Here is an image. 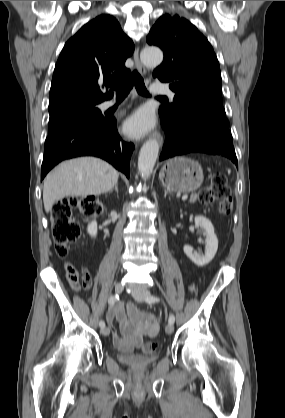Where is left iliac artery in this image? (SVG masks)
Listing matches in <instances>:
<instances>
[{
    "mask_svg": "<svg viewBox=\"0 0 285 418\" xmlns=\"http://www.w3.org/2000/svg\"><path fill=\"white\" fill-rule=\"evenodd\" d=\"M160 301H161V299L159 297H157V296H150V297L146 298V302L148 304H154V303H158ZM174 321H175L174 315L173 314H170L169 315L168 322L171 323V324H173Z\"/></svg>",
    "mask_w": 285,
    "mask_h": 418,
    "instance_id": "1",
    "label": "left iliac artery"
}]
</instances>
